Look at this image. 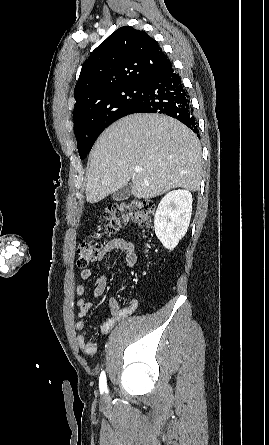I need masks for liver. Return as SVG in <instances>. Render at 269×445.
Returning <instances> with one entry per match:
<instances>
[{
    "instance_id": "obj_1",
    "label": "liver",
    "mask_w": 269,
    "mask_h": 445,
    "mask_svg": "<svg viewBox=\"0 0 269 445\" xmlns=\"http://www.w3.org/2000/svg\"><path fill=\"white\" fill-rule=\"evenodd\" d=\"M140 167V172L134 168ZM86 200L94 204L132 180L131 193L151 199L173 188L197 191L201 181V145L176 119L133 114L110 125L89 156Z\"/></svg>"
}]
</instances>
